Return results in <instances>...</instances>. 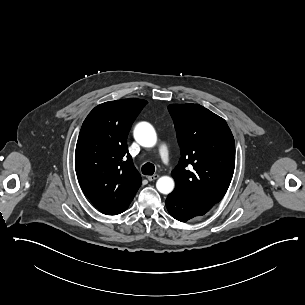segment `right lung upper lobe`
<instances>
[{"label":"right lung upper lobe","instance_id":"obj_1","mask_svg":"<svg viewBox=\"0 0 305 305\" xmlns=\"http://www.w3.org/2000/svg\"><path fill=\"white\" fill-rule=\"evenodd\" d=\"M147 101L124 99L95 107L81 127L75 169L79 184L103 214L127 207L141 185V176L128 153L127 135Z\"/></svg>","mask_w":305,"mask_h":305}]
</instances>
